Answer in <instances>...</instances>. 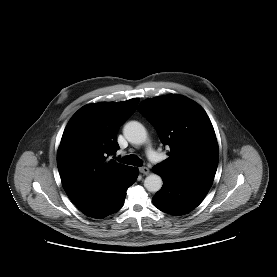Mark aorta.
I'll return each instance as SVG.
<instances>
[{
	"label": "aorta",
	"mask_w": 277,
	"mask_h": 277,
	"mask_svg": "<svg viewBox=\"0 0 277 277\" xmlns=\"http://www.w3.org/2000/svg\"><path fill=\"white\" fill-rule=\"evenodd\" d=\"M123 134L128 142L140 145L146 142L147 132L145 127L137 122L130 121L123 128ZM163 185L162 178L157 174H150L144 180V187L149 192H158Z\"/></svg>",
	"instance_id": "obj_1"
}]
</instances>
